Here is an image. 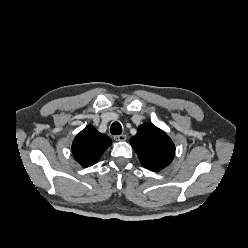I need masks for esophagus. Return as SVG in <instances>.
<instances>
[{"instance_id":"1","label":"esophagus","mask_w":248,"mask_h":248,"mask_svg":"<svg viewBox=\"0 0 248 248\" xmlns=\"http://www.w3.org/2000/svg\"><path fill=\"white\" fill-rule=\"evenodd\" d=\"M114 139L116 141L122 142V141H125L127 139V136L125 134L116 135V136H114Z\"/></svg>"}]
</instances>
